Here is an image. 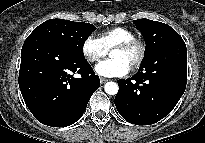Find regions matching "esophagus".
I'll return each instance as SVG.
<instances>
[{
	"label": "esophagus",
	"mask_w": 205,
	"mask_h": 143,
	"mask_svg": "<svg viewBox=\"0 0 205 143\" xmlns=\"http://www.w3.org/2000/svg\"><path fill=\"white\" fill-rule=\"evenodd\" d=\"M108 81V79L106 78H100V83L101 84H105Z\"/></svg>",
	"instance_id": "34e87169"
}]
</instances>
